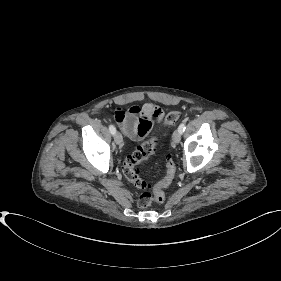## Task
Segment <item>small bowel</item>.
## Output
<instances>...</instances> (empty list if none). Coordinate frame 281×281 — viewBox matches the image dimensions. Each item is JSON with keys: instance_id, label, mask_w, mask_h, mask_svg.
Here are the masks:
<instances>
[{"instance_id": "obj_1", "label": "small bowel", "mask_w": 281, "mask_h": 281, "mask_svg": "<svg viewBox=\"0 0 281 281\" xmlns=\"http://www.w3.org/2000/svg\"><path fill=\"white\" fill-rule=\"evenodd\" d=\"M134 109L126 112L116 121L129 139L140 141L148 135L154 122L162 119L163 110L152 103L136 105Z\"/></svg>"}]
</instances>
